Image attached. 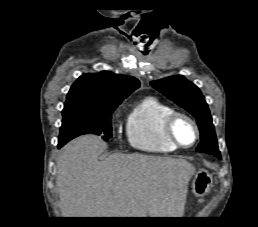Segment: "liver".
I'll return each instance as SVG.
<instances>
[{"mask_svg":"<svg viewBox=\"0 0 258 227\" xmlns=\"http://www.w3.org/2000/svg\"><path fill=\"white\" fill-rule=\"evenodd\" d=\"M106 147L84 135L61 150L56 186L63 217H182L191 163L122 153L99 161Z\"/></svg>","mask_w":258,"mask_h":227,"instance_id":"6515ba94","label":"liver"}]
</instances>
